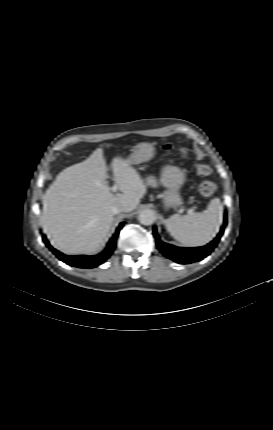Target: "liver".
Returning a JSON list of instances; mask_svg holds the SVG:
<instances>
[{"instance_id": "6515ba94", "label": "liver", "mask_w": 273, "mask_h": 430, "mask_svg": "<svg viewBox=\"0 0 273 430\" xmlns=\"http://www.w3.org/2000/svg\"><path fill=\"white\" fill-rule=\"evenodd\" d=\"M107 144L106 147H111ZM114 180L122 192H110L103 148L59 173L43 200L41 223L50 243L66 254H90L100 249L113 222L111 207L136 209L146 185L127 159H113Z\"/></svg>"}]
</instances>
